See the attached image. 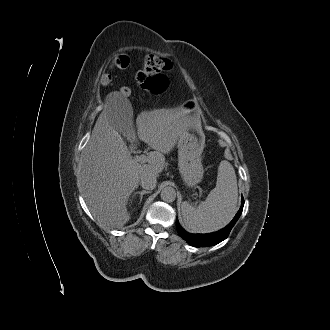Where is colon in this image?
Here are the masks:
<instances>
[{
  "mask_svg": "<svg viewBox=\"0 0 330 330\" xmlns=\"http://www.w3.org/2000/svg\"><path fill=\"white\" fill-rule=\"evenodd\" d=\"M129 58L126 55L116 56L111 63L112 68L124 69L129 65ZM172 61L169 58L160 57L157 55H148L142 64V67L135 74L137 85L150 92L160 93L167 86V78L162 72L172 69ZM123 96H129L131 89L124 86L120 89Z\"/></svg>",
  "mask_w": 330,
  "mask_h": 330,
  "instance_id": "1",
  "label": "colon"
}]
</instances>
